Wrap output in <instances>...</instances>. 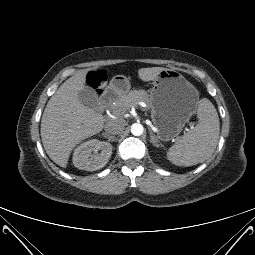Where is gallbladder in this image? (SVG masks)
Returning <instances> with one entry per match:
<instances>
[{
    "mask_svg": "<svg viewBox=\"0 0 255 255\" xmlns=\"http://www.w3.org/2000/svg\"><path fill=\"white\" fill-rule=\"evenodd\" d=\"M79 99L82 102V104L88 108L94 109L97 105L98 98L93 90L90 88H84L79 93Z\"/></svg>",
    "mask_w": 255,
    "mask_h": 255,
    "instance_id": "1",
    "label": "gallbladder"
}]
</instances>
